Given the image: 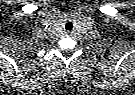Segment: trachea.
Segmentation results:
<instances>
[{
	"mask_svg": "<svg viewBox=\"0 0 135 95\" xmlns=\"http://www.w3.org/2000/svg\"><path fill=\"white\" fill-rule=\"evenodd\" d=\"M65 29L71 31L73 29V25L71 22L66 23Z\"/></svg>",
	"mask_w": 135,
	"mask_h": 95,
	"instance_id": "3493384b",
	"label": "trachea"
}]
</instances>
